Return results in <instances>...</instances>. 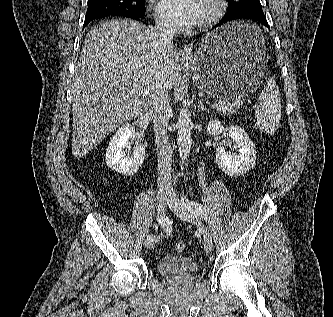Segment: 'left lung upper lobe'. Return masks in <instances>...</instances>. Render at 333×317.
I'll use <instances>...</instances> for the list:
<instances>
[{"label":"left lung upper lobe","instance_id":"5c2ea615","mask_svg":"<svg viewBox=\"0 0 333 317\" xmlns=\"http://www.w3.org/2000/svg\"><path fill=\"white\" fill-rule=\"evenodd\" d=\"M227 14L239 12L246 9L262 8L260 0H227Z\"/></svg>","mask_w":333,"mask_h":317}]
</instances>
